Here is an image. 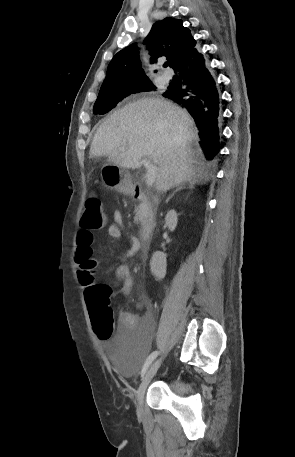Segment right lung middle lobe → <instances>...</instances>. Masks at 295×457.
Wrapping results in <instances>:
<instances>
[{
	"instance_id": "right-lung-middle-lobe-1",
	"label": "right lung middle lobe",
	"mask_w": 295,
	"mask_h": 457,
	"mask_svg": "<svg viewBox=\"0 0 295 457\" xmlns=\"http://www.w3.org/2000/svg\"><path fill=\"white\" fill-rule=\"evenodd\" d=\"M155 89L156 87L150 80H145L132 85L121 86L113 90L101 91L94 104L93 112L95 114H105L130 94L141 91H152Z\"/></svg>"
}]
</instances>
